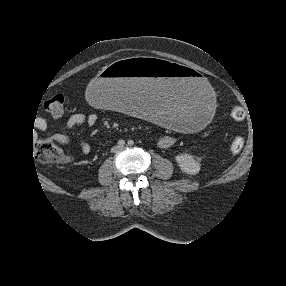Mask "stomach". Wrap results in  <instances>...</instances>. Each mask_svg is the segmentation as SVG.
<instances>
[{
	"label": "stomach",
	"mask_w": 286,
	"mask_h": 286,
	"mask_svg": "<svg viewBox=\"0 0 286 286\" xmlns=\"http://www.w3.org/2000/svg\"><path fill=\"white\" fill-rule=\"evenodd\" d=\"M90 104L194 135L217 107L212 83L196 69L164 58L133 57L105 67L85 89Z\"/></svg>",
	"instance_id": "0dacf381"
}]
</instances>
